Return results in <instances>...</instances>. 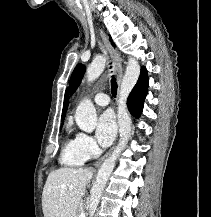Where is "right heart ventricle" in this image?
Here are the masks:
<instances>
[{
    "label": "right heart ventricle",
    "instance_id": "1",
    "mask_svg": "<svg viewBox=\"0 0 211 217\" xmlns=\"http://www.w3.org/2000/svg\"><path fill=\"white\" fill-rule=\"evenodd\" d=\"M87 158L81 153L78 148L76 138L69 139L62 150L61 161L67 166L82 165Z\"/></svg>",
    "mask_w": 211,
    "mask_h": 217
}]
</instances>
